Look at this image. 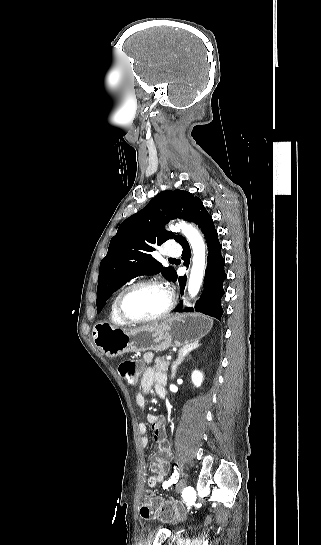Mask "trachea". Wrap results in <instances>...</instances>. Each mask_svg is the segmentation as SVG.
Listing matches in <instances>:
<instances>
[{
	"mask_svg": "<svg viewBox=\"0 0 321 545\" xmlns=\"http://www.w3.org/2000/svg\"><path fill=\"white\" fill-rule=\"evenodd\" d=\"M170 262L178 261L176 258L169 259Z\"/></svg>",
	"mask_w": 321,
	"mask_h": 545,
	"instance_id": "obj_1",
	"label": "trachea"
}]
</instances>
